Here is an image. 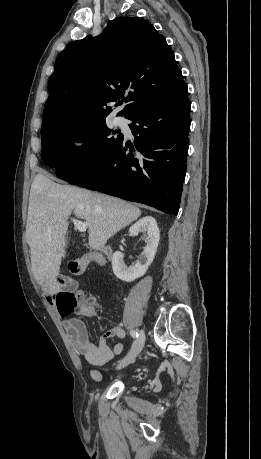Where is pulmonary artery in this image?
<instances>
[{
	"label": "pulmonary artery",
	"mask_w": 261,
	"mask_h": 459,
	"mask_svg": "<svg viewBox=\"0 0 261 459\" xmlns=\"http://www.w3.org/2000/svg\"><path fill=\"white\" fill-rule=\"evenodd\" d=\"M115 122L117 125H123L125 121L122 117H116Z\"/></svg>",
	"instance_id": "obj_1"
}]
</instances>
